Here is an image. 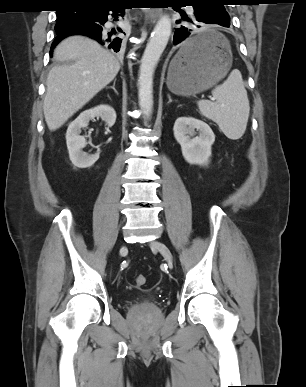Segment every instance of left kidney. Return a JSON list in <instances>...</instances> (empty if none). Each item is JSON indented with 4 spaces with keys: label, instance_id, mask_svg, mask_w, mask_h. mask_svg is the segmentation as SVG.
<instances>
[{
    "label": "left kidney",
    "instance_id": "left-kidney-1",
    "mask_svg": "<svg viewBox=\"0 0 306 387\" xmlns=\"http://www.w3.org/2000/svg\"><path fill=\"white\" fill-rule=\"evenodd\" d=\"M195 130L199 131L196 136ZM174 137L180 144L182 155L189 164L207 165L215 135L204 121L193 117H179L173 127Z\"/></svg>",
    "mask_w": 306,
    "mask_h": 387
}]
</instances>
